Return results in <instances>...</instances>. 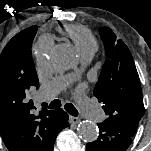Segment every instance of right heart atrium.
Here are the masks:
<instances>
[{
    "mask_svg": "<svg viewBox=\"0 0 151 151\" xmlns=\"http://www.w3.org/2000/svg\"><path fill=\"white\" fill-rule=\"evenodd\" d=\"M41 54H42V53H40V52H39V53H35V56H36L37 58H40Z\"/></svg>",
    "mask_w": 151,
    "mask_h": 151,
    "instance_id": "1",
    "label": "right heart atrium"
}]
</instances>
